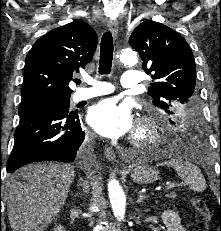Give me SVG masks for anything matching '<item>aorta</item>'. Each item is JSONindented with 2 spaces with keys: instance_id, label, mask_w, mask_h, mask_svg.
<instances>
[{
  "instance_id": "1",
  "label": "aorta",
  "mask_w": 221,
  "mask_h": 231,
  "mask_svg": "<svg viewBox=\"0 0 221 231\" xmlns=\"http://www.w3.org/2000/svg\"><path fill=\"white\" fill-rule=\"evenodd\" d=\"M118 59L122 64L128 66H134L138 62L137 53L132 48L122 49ZM108 193L113 213L119 221H122L125 216L126 197L117 180L109 181Z\"/></svg>"
}]
</instances>
